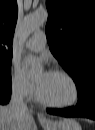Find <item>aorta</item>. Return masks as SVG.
<instances>
[{
  "mask_svg": "<svg viewBox=\"0 0 95 130\" xmlns=\"http://www.w3.org/2000/svg\"><path fill=\"white\" fill-rule=\"evenodd\" d=\"M48 18V13L46 10L37 11L29 16H27L22 25V35L24 38L29 36L38 27L45 24Z\"/></svg>",
  "mask_w": 95,
  "mask_h": 130,
  "instance_id": "obj_1",
  "label": "aorta"
}]
</instances>
